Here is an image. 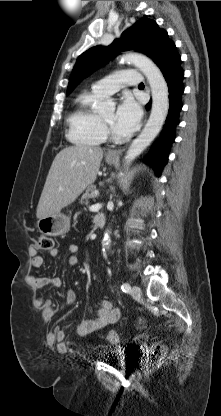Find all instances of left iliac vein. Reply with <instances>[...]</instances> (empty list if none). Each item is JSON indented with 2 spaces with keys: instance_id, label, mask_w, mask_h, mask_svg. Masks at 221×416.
Listing matches in <instances>:
<instances>
[{
  "instance_id": "4c4485c4",
  "label": "left iliac vein",
  "mask_w": 221,
  "mask_h": 416,
  "mask_svg": "<svg viewBox=\"0 0 221 416\" xmlns=\"http://www.w3.org/2000/svg\"><path fill=\"white\" fill-rule=\"evenodd\" d=\"M131 295L135 299H139L142 295L141 289L138 286H133L131 289Z\"/></svg>"
}]
</instances>
